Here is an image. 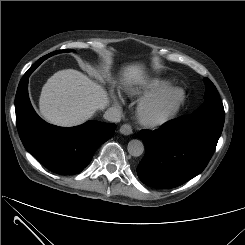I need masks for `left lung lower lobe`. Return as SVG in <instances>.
I'll list each match as a JSON object with an SVG mask.
<instances>
[{"mask_svg": "<svg viewBox=\"0 0 245 245\" xmlns=\"http://www.w3.org/2000/svg\"><path fill=\"white\" fill-rule=\"evenodd\" d=\"M224 123L183 116L154 131L141 130L145 156L137 167L140 180L151 187L170 189L200 174L210 161Z\"/></svg>", "mask_w": 245, "mask_h": 245, "instance_id": "left-lung-lower-lobe-1", "label": "left lung lower lobe"}]
</instances>
